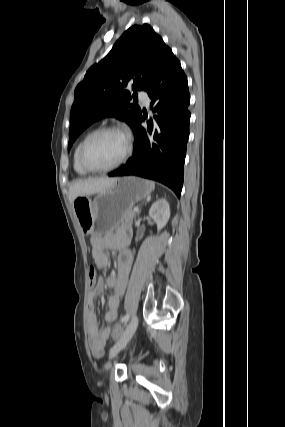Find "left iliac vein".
<instances>
[{
  "label": "left iliac vein",
  "mask_w": 285,
  "mask_h": 427,
  "mask_svg": "<svg viewBox=\"0 0 285 427\" xmlns=\"http://www.w3.org/2000/svg\"><path fill=\"white\" fill-rule=\"evenodd\" d=\"M137 326H138V317H137V315H134L132 317L131 321L129 322V324L127 325L123 336L120 338V340L110 350V357L111 358L116 356V354L127 345V343L130 341V339L134 335V333L137 329Z\"/></svg>",
  "instance_id": "obj_1"
}]
</instances>
